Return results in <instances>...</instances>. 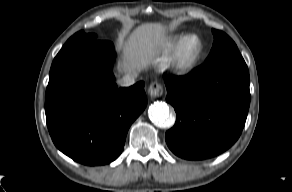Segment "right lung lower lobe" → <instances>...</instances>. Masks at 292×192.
Returning a JSON list of instances; mask_svg holds the SVG:
<instances>
[{"label":"right lung lower lobe","instance_id":"1","mask_svg":"<svg viewBox=\"0 0 292 192\" xmlns=\"http://www.w3.org/2000/svg\"><path fill=\"white\" fill-rule=\"evenodd\" d=\"M109 41L66 43L54 58L45 95L55 146L85 165H103L122 152L127 131L147 105L144 82L118 88Z\"/></svg>","mask_w":292,"mask_h":192}]
</instances>
